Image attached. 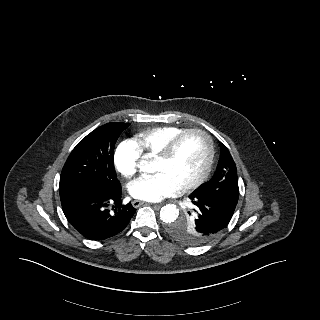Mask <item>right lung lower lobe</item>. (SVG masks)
Returning <instances> with one entry per match:
<instances>
[{"instance_id": "right-lung-lower-lobe-1", "label": "right lung lower lobe", "mask_w": 320, "mask_h": 320, "mask_svg": "<svg viewBox=\"0 0 320 320\" xmlns=\"http://www.w3.org/2000/svg\"><path fill=\"white\" fill-rule=\"evenodd\" d=\"M63 212L85 238L102 241L120 233L136 209L122 204L121 185L107 191L66 190L60 192ZM115 205L109 209V205Z\"/></svg>"}]
</instances>
